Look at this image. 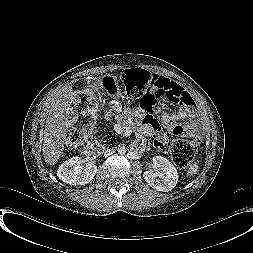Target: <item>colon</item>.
Masks as SVG:
<instances>
[{
  "instance_id": "5ec220e1",
  "label": "colon",
  "mask_w": 253,
  "mask_h": 253,
  "mask_svg": "<svg viewBox=\"0 0 253 253\" xmlns=\"http://www.w3.org/2000/svg\"><path fill=\"white\" fill-rule=\"evenodd\" d=\"M128 97L138 100L142 109L152 112L156 102L167 99L172 103L186 104L181 97L178 85L164 77L140 68L126 69L121 75ZM96 99L85 90L75 94L70 110L67 145L74 150L82 145L88 128L95 122L97 111ZM196 137L177 138L170 146L173 162L178 167H186L196 154Z\"/></svg>"
}]
</instances>
